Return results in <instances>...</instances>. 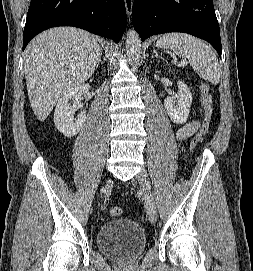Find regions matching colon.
Returning a JSON list of instances; mask_svg holds the SVG:
<instances>
[{
  "label": "colon",
  "mask_w": 253,
  "mask_h": 271,
  "mask_svg": "<svg viewBox=\"0 0 253 271\" xmlns=\"http://www.w3.org/2000/svg\"><path fill=\"white\" fill-rule=\"evenodd\" d=\"M202 95H203V110H204V116H203V123L202 126L199 128L197 133L194 135V137L191 140V150H195L199 144L203 141V139L206 137L207 133L209 132L211 125H212V119H213V98L212 95L207 88V86L202 85ZM108 213L112 217H117L122 213V209L118 206L110 207L108 210Z\"/></svg>",
  "instance_id": "1"
}]
</instances>
